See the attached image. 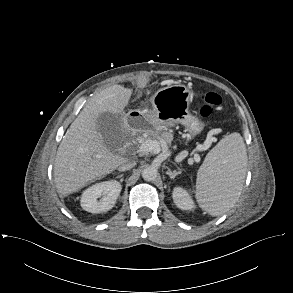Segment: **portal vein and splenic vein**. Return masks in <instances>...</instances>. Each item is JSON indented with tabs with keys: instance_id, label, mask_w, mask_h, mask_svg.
<instances>
[{
	"instance_id": "18ae733b",
	"label": "portal vein and splenic vein",
	"mask_w": 293,
	"mask_h": 293,
	"mask_svg": "<svg viewBox=\"0 0 293 293\" xmlns=\"http://www.w3.org/2000/svg\"><path fill=\"white\" fill-rule=\"evenodd\" d=\"M139 150L141 152H159L160 151V142L157 140H145L144 142L141 143ZM194 160L196 162H200V156L195 154L194 155Z\"/></svg>"
}]
</instances>
